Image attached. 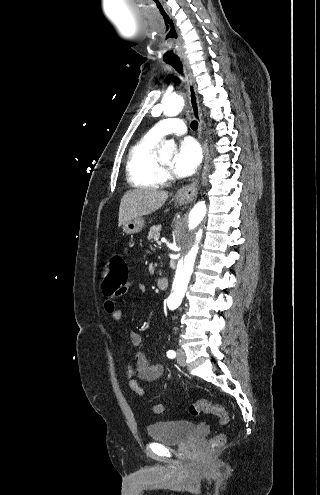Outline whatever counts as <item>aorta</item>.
Wrapping results in <instances>:
<instances>
[{
	"mask_svg": "<svg viewBox=\"0 0 320 495\" xmlns=\"http://www.w3.org/2000/svg\"><path fill=\"white\" fill-rule=\"evenodd\" d=\"M185 100L180 96H166L161 105L152 108V114L163 112L167 117L177 116L184 108ZM176 146L173 142H164L158 149L163 156L172 154ZM215 205L209 200H201L194 205L189 215L179 224L176 237L180 248L178 264L172 285L171 296L168 300L170 310L178 308L193 273L196 258L200 252V244L211 227L212 217L215 214ZM201 239L199 240V235Z\"/></svg>",
	"mask_w": 320,
	"mask_h": 495,
	"instance_id": "762f6f07",
	"label": "aorta"
}]
</instances>
